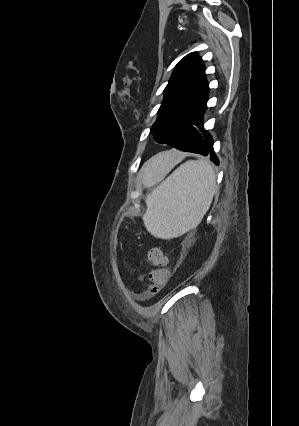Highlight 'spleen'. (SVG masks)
<instances>
[{
    "instance_id": "1",
    "label": "spleen",
    "mask_w": 299,
    "mask_h": 426,
    "mask_svg": "<svg viewBox=\"0 0 299 426\" xmlns=\"http://www.w3.org/2000/svg\"><path fill=\"white\" fill-rule=\"evenodd\" d=\"M215 188L216 176L207 161L183 163L147 195L146 229L157 238L170 239L197 227L212 203Z\"/></svg>"
}]
</instances>
